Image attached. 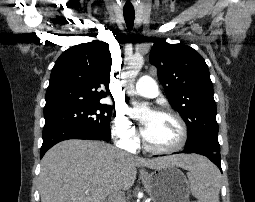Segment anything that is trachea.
Masks as SVG:
<instances>
[{
	"label": "trachea",
	"mask_w": 255,
	"mask_h": 202,
	"mask_svg": "<svg viewBox=\"0 0 255 202\" xmlns=\"http://www.w3.org/2000/svg\"><path fill=\"white\" fill-rule=\"evenodd\" d=\"M124 19L129 30L132 29L135 19L134 8L123 9Z\"/></svg>",
	"instance_id": "1"
}]
</instances>
